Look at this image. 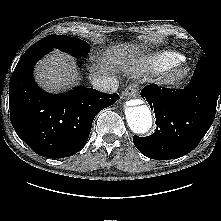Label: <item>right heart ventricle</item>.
Returning <instances> with one entry per match:
<instances>
[{"mask_svg":"<svg viewBox=\"0 0 221 221\" xmlns=\"http://www.w3.org/2000/svg\"><path fill=\"white\" fill-rule=\"evenodd\" d=\"M184 61V57L174 51H161L152 54L146 59V67L155 71H166Z\"/></svg>","mask_w":221,"mask_h":221,"instance_id":"1","label":"right heart ventricle"}]
</instances>
